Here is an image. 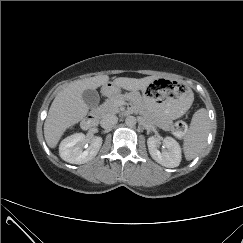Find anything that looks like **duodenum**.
Listing matches in <instances>:
<instances>
[{
  "label": "duodenum",
  "instance_id": "duodenum-1",
  "mask_svg": "<svg viewBox=\"0 0 243 243\" xmlns=\"http://www.w3.org/2000/svg\"><path fill=\"white\" fill-rule=\"evenodd\" d=\"M112 93V89L106 88L105 94L110 95ZM98 123V118L95 113L89 114L82 122V126L84 129L89 130L93 129Z\"/></svg>",
  "mask_w": 243,
  "mask_h": 243
}]
</instances>
